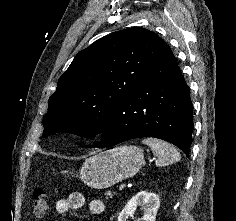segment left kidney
Masks as SVG:
<instances>
[{
  "label": "left kidney",
  "mask_w": 236,
  "mask_h": 221,
  "mask_svg": "<svg viewBox=\"0 0 236 221\" xmlns=\"http://www.w3.org/2000/svg\"><path fill=\"white\" fill-rule=\"evenodd\" d=\"M138 206L144 208V221H155L158 208L160 206V198L157 194L148 192H139L130 201L127 202L124 209L118 216V221H126L132 215ZM139 221V220H137Z\"/></svg>",
  "instance_id": "left-kidney-1"
}]
</instances>
